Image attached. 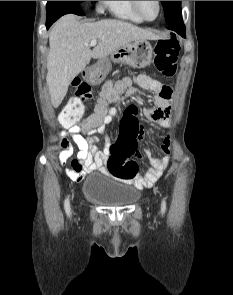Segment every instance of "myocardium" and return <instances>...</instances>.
<instances>
[{
  "label": "myocardium",
  "instance_id": "obj_1",
  "mask_svg": "<svg viewBox=\"0 0 233 295\" xmlns=\"http://www.w3.org/2000/svg\"><path fill=\"white\" fill-rule=\"evenodd\" d=\"M156 3H157V14H156V16L153 19H148V18L144 17L143 14L141 13V10L139 8V2L138 1H131L132 7H133L135 13L143 21H146V22H152V21L156 20L159 17V15L161 13V1H156Z\"/></svg>",
  "mask_w": 233,
  "mask_h": 295
}]
</instances>
